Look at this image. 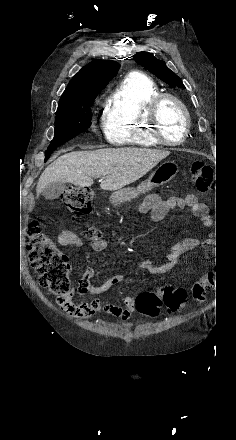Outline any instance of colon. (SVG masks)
<instances>
[{"mask_svg":"<svg viewBox=\"0 0 236 440\" xmlns=\"http://www.w3.org/2000/svg\"><path fill=\"white\" fill-rule=\"evenodd\" d=\"M191 172L199 191L205 192L212 188L213 171L202 161L191 164ZM92 192L89 188L68 187L63 194L65 205L76 217H82L90 212ZM84 235L90 239H99L102 232L94 227H88ZM29 262L34 268L39 282L43 287L57 297L62 306L68 303L72 296L70 283L71 265L67 256L54 244L49 236L41 231L33 222L29 227ZM200 283H195L191 289L192 298L198 303L206 299L207 285H222V276H201ZM187 301L186 289L164 286L159 293L142 292L136 298V308L141 314L155 318L164 307L169 312H177L185 307Z\"/></svg>","mask_w":236,"mask_h":440,"instance_id":"colon-1","label":"colon"}]
</instances>
